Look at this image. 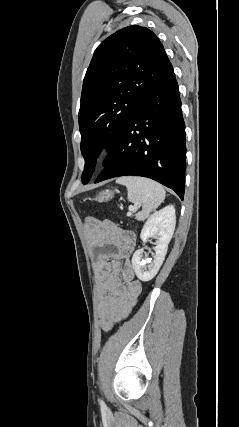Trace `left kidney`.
<instances>
[{
  "mask_svg": "<svg viewBox=\"0 0 239 427\" xmlns=\"http://www.w3.org/2000/svg\"><path fill=\"white\" fill-rule=\"evenodd\" d=\"M175 225L176 216L173 205L155 212L144 224L140 234L141 239L145 243L149 238H155L156 246L155 256L151 261L142 260L143 249H139L133 254L132 265L139 280L147 282L158 273L165 259Z\"/></svg>",
  "mask_w": 239,
  "mask_h": 427,
  "instance_id": "obj_1",
  "label": "left kidney"
}]
</instances>
